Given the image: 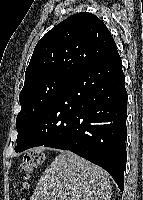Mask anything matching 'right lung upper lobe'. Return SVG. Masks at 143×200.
<instances>
[{
    "label": "right lung upper lobe",
    "mask_w": 143,
    "mask_h": 200,
    "mask_svg": "<svg viewBox=\"0 0 143 200\" xmlns=\"http://www.w3.org/2000/svg\"><path fill=\"white\" fill-rule=\"evenodd\" d=\"M115 50L110 31L97 16L86 12L74 14L37 43L24 85L54 74L72 76Z\"/></svg>",
    "instance_id": "cb5924a9"
}]
</instances>
